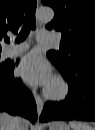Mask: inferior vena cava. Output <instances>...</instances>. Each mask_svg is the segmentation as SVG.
<instances>
[{"label": "inferior vena cava", "mask_w": 95, "mask_h": 130, "mask_svg": "<svg viewBox=\"0 0 95 130\" xmlns=\"http://www.w3.org/2000/svg\"><path fill=\"white\" fill-rule=\"evenodd\" d=\"M14 120H15V122H16V127L17 128H15L16 130H20L21 128H20V124H21V118H19V117H14Z\"/></svg>", "instance_id": "1"}]
</instances>
